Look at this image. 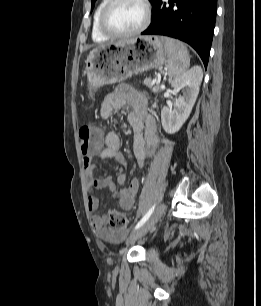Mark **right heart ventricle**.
<instances>
[{
    "mask_svg": "<svg viewBox=\"0 0 261 306\" xmlns=\"http://www.w3.org/2000/svg\"><path fill=\"white\" fill-rule=\"evenodd\" d=\"M108 2V0H101L99 2V4L97 5L94 14H93V21H92V29H91V34H92V39L95 42H103L108 40L110 37L105 35L99 26V18H100V14L102 9L104 8V6L106 5V3Z\"/></svg>",
    "mask_w": 261,
    "mask_h": 306,
    "instance_id": "e07e8e85",
    "label": "right heart ventricle"
}]
</instances>
